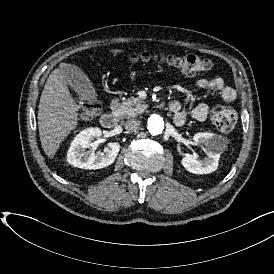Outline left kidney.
<instances>
[{"label": "left kidney", "instance_id": "left-kidney-1", "mask_svg": "<svg viewBox=\"0 0 274 274\" xmlns=\"http://www.w3.org/2000/svg\"><path fill=\"white\" fill-rule=\"evenodd\" d=\"M222 140L221 135L214 133H196L193 136V141L195 144L205 147L207 157L199 160L195 155L186 154L181 161L183 167L194 174H209L217 170L220 155L226 148Z\"/></svg>", "mask_w": 274, "mask_h": 274}]
</instances>
